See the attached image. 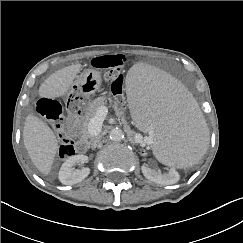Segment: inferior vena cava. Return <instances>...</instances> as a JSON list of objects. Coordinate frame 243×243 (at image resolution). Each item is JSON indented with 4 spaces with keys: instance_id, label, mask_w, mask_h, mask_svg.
Returning <instances> with one entry per match:
<instances>
[{
    "instance_id": "obj_1",
    "label": "inferior vena cava",
    "mask_w": 243,
    "mask_h": 243,
    "mask_svg": "<svg viewBox=\"0 0 243 243\" xmlns=\"http://www.w3.org/2000/svg\"><path fill=\"white\" fill-rule=\"evenodd\" d=\"M99 142H100V137L95 136V137L92 139L91 147H92V148H96L97 145L99 144Z\"/></svg>"
}]
</instances>
